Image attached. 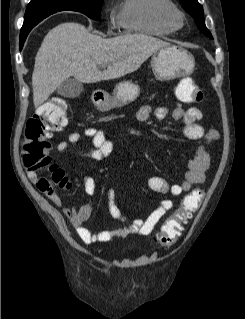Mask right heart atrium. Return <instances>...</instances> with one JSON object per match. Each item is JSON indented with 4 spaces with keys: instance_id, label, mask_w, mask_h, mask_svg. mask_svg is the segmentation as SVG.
Listing matches in <instances>:
<instances>
[{
    "instance_id": "1",
    "label": "right heart atrium",
    "mask_w": 245,
    "mask_h": 319,
    "mask_svg": "<svg viewBox=\"0 0 245 319\" xmlns=\"http://www.w3.org/2000/svg\"><path fill=\"white\" fill-rule=\"evenodd\" d=\"M118 24H119L118 19H117V20H115V19H113V18L110 19V25H111V26H116V25H118Z\"/></svg>"
}]
</instances>
